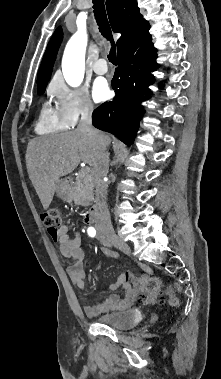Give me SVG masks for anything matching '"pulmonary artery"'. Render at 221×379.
<instances>
[{
	"mask_svg": "<svg viewBox=\"0 0 221 379\" xmlns=\"http://www.w3.org/2000/svg\"><path fill=\"white\" fill-rule=\"evenodd\" d=\"M93 70L96 74L103 75L107 73L108 67L105 59L97 60L93 65Z\"/></svg>",
	"mask_w": 221,
	"mask_h": 379,
	"instance_id": "e3ab8cb5",
	"label": "pulmonary artery"
}]
</instances>
